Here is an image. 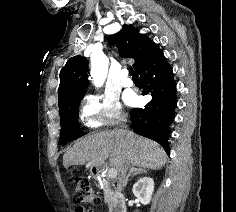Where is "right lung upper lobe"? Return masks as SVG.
<instances>
[{
    "instance_id": "cb5924a9",
    "label": "right lung upper lobe",
    "mask_w": 236,
    "mask_h": 212,
    "mask_svg": "<svg viewBox=\"0 0 236 212\" xmlns=\"http://www.w3.org/2000/svg\"><path fill=\"white\" fill-rule=\"evenodd\" d=\"M110 44H116L123 58L135 60L133 65L136 72L144 65L153 49L154 42L132 25H123L122 29L108 38ZM88 65L85 57L70 58L60 71L58 89L59 110L67 107L71 101L84 96L88 84Z\"/></svg>"
}]
</instances>
